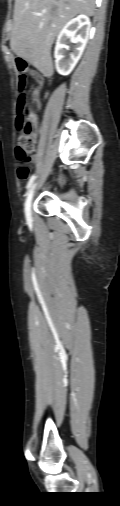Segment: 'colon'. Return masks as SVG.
<instances>
[{"mask_svg": "<svg viewBox=\"0 0 120 506\" xmlns=\"http://www.w3.org/2000/svg\"><path fill=\"white\" fill-rule=\"evenodd\" d=\"M25 57L22 55H17L15 57V62L18 64L22 75L19 79L20 88H24L26 84V75L24 72L27 70V63L25 62ZM18 118H17V128L20 132V136L18 139V145L16 147V156L18 159V176L21 179H26L29 175V168L27 162L29 160V154L33 151L35 147L36 137L34 134V118L31 113L27 98L22 95L18 100Z\"/></svg>", "mask_w": 120, "mask_h": 506, "instance_id": "1", "label": "colon"}]
</instances>
